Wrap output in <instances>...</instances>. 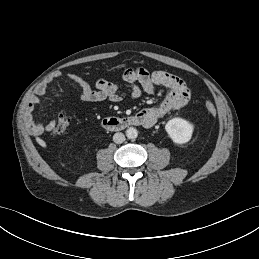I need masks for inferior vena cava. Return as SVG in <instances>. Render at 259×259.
I'll use <instances>...</instances> for the list:
<instances>
[{"label": "inferior vena cava", "instance_id": "602c4592", "mask_svg": "<svg viewBox=\"0 0 259 259\" xmlns=\"http://www.w3.org/2000/svg\"><path fill=\"white\" fill-rule=\"evenodd\" d=\"M113 141L117 144H121L125 141V136L123 133H115L114 136H113Z\"/></svg>", "mask_w": 259, "mask_h": 259}]
</instances>
